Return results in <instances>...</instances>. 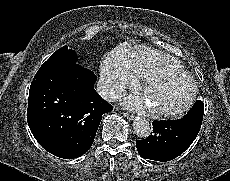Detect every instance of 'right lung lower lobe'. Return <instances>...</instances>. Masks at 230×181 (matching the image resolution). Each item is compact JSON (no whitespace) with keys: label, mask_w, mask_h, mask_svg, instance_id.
Here are the masks:
<instances>
[{"label":"right lung lower lobe","mask_w":230,"mask_h":181,"mask_svg":"<svg viewBox=\"0 0 230 181\" xmlns=\"http://www.w3.org/2000/svg\"><path fill=\"white\" fill-rule=\"evenodd\" d=\"M96 75L76 63L39 70L29 90L27 121L49 153L74 159L93 144L102 115L112 105L94 89Z\"/></svg>","instance_id":"right-lung-lower-lobe-1"}]
</instances>
